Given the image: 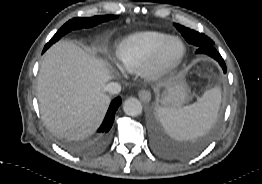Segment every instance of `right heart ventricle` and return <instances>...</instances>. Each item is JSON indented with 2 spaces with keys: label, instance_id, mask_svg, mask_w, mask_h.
I'll list each match as a JSON object with an SVG mask.
<instances>
[{
  "label": "right heart ventricle",
  "instance_id": "e07e8e85",
  "mask_svg": "<svg viewBox=\"0 0 262 184\" xmlns=\"http://www.w3.org/2000/svg\"><path fill=\"white\" fill-rule=\"evenodd\" d=\"M170 37L158 31H140L127 35L119 42L115 52L120 67L128 72L140 70Z\"/></svg>",
  "mask_w": 262,
  "mask_h": 184
}]
</instances>
